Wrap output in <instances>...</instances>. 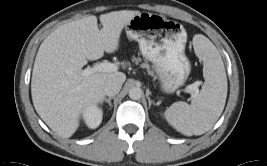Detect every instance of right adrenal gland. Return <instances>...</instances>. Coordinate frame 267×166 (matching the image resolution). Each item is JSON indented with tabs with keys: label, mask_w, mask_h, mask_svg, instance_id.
I'll use <instances>...</instances> for the list:
<instances>
[{
	"label": "right adrenal gland",
	"mask_w": 267,
	"mask_h": 166,
	"mask_svg": "<svg viewBox=\"0 0 267 166\" xmlns=\"http://www.w3.org/2000/svg\"><path fill=\"white\" fill-rule=\"evenodd\" d=\"M114 97L113 96H110L109 98H105V102L108 103L110 109L112 108V104H111V100L113 99Z\"/></svg>",
	"instance_id": "1"
}]
</instances>
